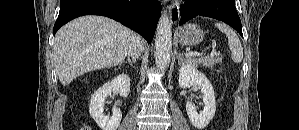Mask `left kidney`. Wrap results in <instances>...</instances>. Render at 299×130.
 Returning <instances> with one entry per match:
<instances>
[{
  "label": "left kidney",
  "instance_id": "1",
  "mask_svg": "<svg viewBox=\"0 0 299 130\" xmlns=\"http://www.w3.org/2000/svg\"><path fill=\"white\" fill-rule=\"evenodd\" d=\"M178 81L179 86L184 89L190 88L192 85L201 87L204 103L203 111L198 113L190 101L186 103V111L190 122L195 128L198 130L205 128L216 111L215 93L211 83L203 73L190 64H183L180 67Z\"/></svg>",
  "mask_w": 299,
  "mask_h": 130
}]
</instances>
